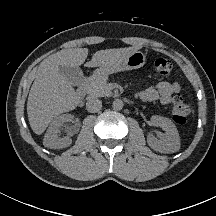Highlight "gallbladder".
Returning <instances> with one entry per match:
<instances>
[{
    "instance_id": "obj_1",
    "label": "gallbladder",
    "mask_w": 216,
    "mask_h": 216,
    "mask_svg": "<svg viewBox=\"0 0 216 216\" xmlns=\"http://www.w3.org/2000/svg\"><path fill=\"white\" fill-rule=\"evenodd\" d=\"M59 73L75 86L80 85L83 80V72L79 67L60 66Z\"/></svg>"
}]
</instances>
